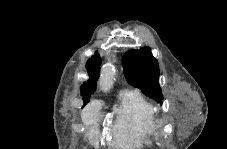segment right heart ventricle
Segmentation results:
<instances>
[{
	"label": "right heart ventricle",
	"instance_id": "e07e8e85",
	"mask_svg": "<svg viewBox=\"0 0 227 149\" xmlns=\"http://www.w3.org/2000/svg\"><path fill=\"white\" fill-rule=\"evenodd\" d=\"M110 126L114 145L131 149L150 145L156 137L154 107L138 92L124 91Z\"/></svg>",
	"mask_w": 227,
	"mask_h": 149
}]
</instances>
